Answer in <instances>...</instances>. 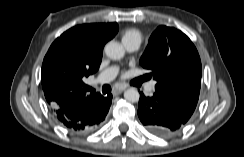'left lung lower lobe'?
<instances>
[{"instance_id": "0a47b994", "label": "left lung lower lobe", "mask_w": 244, "mask_h": 157, "mask_svg": "<svg viewBox=\"0 0 244 157\" xmlns=\"http://www.w3.org/2000/svg\"><path fill=\"white\" fill-rule=\"evenodd\" d=\"M137 113L147 130L160 137L174 136L190 119L183 116L168 99L156 91L149 97L140 93Z\"/></svg>"}]
</instances>
